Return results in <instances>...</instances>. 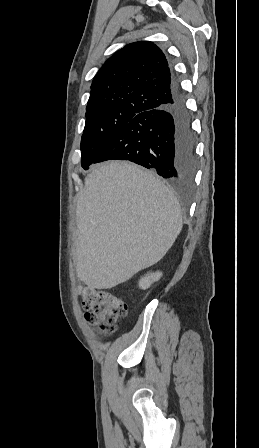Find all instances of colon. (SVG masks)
<instances>
[{
  "instance_id": "colon-1",
  "label": "colon",
  "mask_w": 259,
  "mask_h": 448,
  "mask_svg": "<svg viewBox=\"0 0 259 448\" xmlns=\"http://www.w3.org/2000/svg\"><path fill=\"white\" fill-rule=\"evenodd\" d=\"M80 296L86 319L104 333H113L117 320L127 314V304L107 290L84 287Z\"/></svg>"
}]
</instances>
